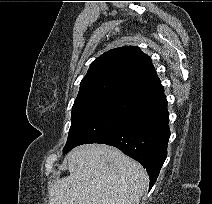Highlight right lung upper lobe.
I'll use <instances>...</instances> for the list:
<instances>
[{
  "label": "right lung upper lobe",
  "instance_id": "1",
  "mask_svg": "<svg viewBox=\"0 0 212 204\" xmlns=\"http://www.w3.org/2000/svg\"><path fill=\"white\" fill-rule=\"evenodd\" d=\"M164 94L151 59L138 47L124 46L99 56L80 83L74 105L120 98L144 105Z\"/></svg>",
  "mask_w": 212,
  "mask_h": 204
}]
</instances>
